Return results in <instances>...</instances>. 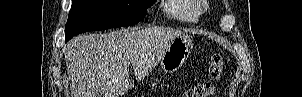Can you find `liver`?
<instances>
[{"label":"liver","mask_w":302,"mask_h":97,"mask_svg":"<svg viewBox=\"0 0 302 97\" xmlns=\"http://www.w3.org/2000/svg\"><path fill=\"white\" fill-rule=\"evenodd\" d=\"M180 34L152 27L73 38L65 48L71 97H122L132 86L129 66L136 78L145 77Z\"/></svg>","instance_id":"obj_1"}]
</instances>
